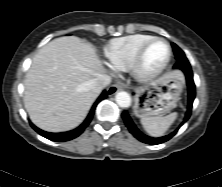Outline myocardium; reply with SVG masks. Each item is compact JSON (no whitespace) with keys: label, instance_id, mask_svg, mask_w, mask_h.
Instances as JSON below:
<instances>
[{"label":"myocardium","instance_id":"myocardium-1","mask_svg":"<svg viewBox=\"0 0 222 187\" xmlns=\"http://www.w3.org/2000/svg\"><path fill=\"white\" fill-rule=\"evenodd\" d=\"M156 42L164 43L168 48V54L165 61L158 68L152 71H148L145 69V66H144L145 57L149 48ZM171 58H172V47L170 43L164 38L153 37L152 39H150L149 41H147L145 44H143L140 47L129 71L139 81H142V82L151 81L157 78L161 73H163V71L169 65Z\"/></svg>","mask_w":222,"mask_h":187}]
</instances>
